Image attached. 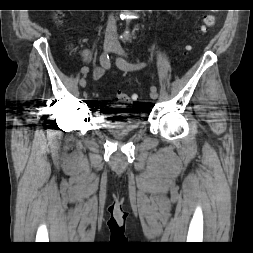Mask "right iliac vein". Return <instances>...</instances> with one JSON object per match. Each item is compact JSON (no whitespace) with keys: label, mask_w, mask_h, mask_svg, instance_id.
<instances>
[{"label":"right iliac vein","mask_w":253,"mask_h":253,"mask_svg":"<svg viewBox=\"0 0 253 253\" xmlns=\"http://www.w3.org/2000/svg\"><path fill=\"white\" fill-rule=\"evenodd\" d=\"M114 47V41L113 38L111 37H106L103 43V49L105 52H109L112 50V48ZM80 86L81 87H85L86 86V80L84 78H82L80 80Z\"/></svg>","instance_id":"right-iliac-vein-1"}]
</instances>
